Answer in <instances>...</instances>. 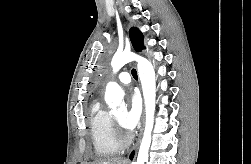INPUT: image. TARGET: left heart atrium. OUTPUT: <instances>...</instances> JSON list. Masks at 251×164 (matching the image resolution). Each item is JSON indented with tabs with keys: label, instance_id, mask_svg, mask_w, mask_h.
Instances as JSON below:
<instances>
[{
	"label": "left heart atrium",
	"instance_id": "1",
	"mask_svg": "<svg viewBox=\"0 0 251 164\" xmlns=\"http://www.w3.org/2000/svg\"><path fill=\"white\" fill-rule=\"evenodd\" d=\"M142 111V101L138 93L132 92L129 95V107L126 115L123 118L122 125L130 130L138 124Z\"/></svg>",
	"mask_w": 251,
	"mask_h": 164
}]
</instances>
